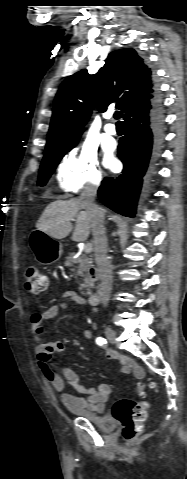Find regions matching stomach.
Returning <instances> with one entry per match:
<instances>
[{
    "label": "stomach",
    "mask_w": 187,
    "mask_h": 479,
    "mask_svg": "<svg viewBox=\"0 0 187 479\" xmlns=\"http://www.w3.org/2000/svg\"><path fill=\"white\" fill-rule=\"evenodd\" d=\"M29 244L35 259L42 265L55 263L63 253L62 243L40 230L31 232Z\"/></svg>",
    "instance_id": "stomach-1"
}]
</instances>
